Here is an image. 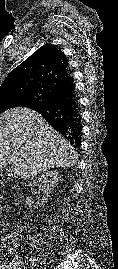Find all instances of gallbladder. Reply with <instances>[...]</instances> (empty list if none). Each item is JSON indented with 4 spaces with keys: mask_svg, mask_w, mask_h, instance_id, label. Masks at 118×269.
<instances>
[{
    "mask_svg": "<svg viewBox=\"0 0 118 269\" xmlns=\"http://www.w3.org/2000/svg\"><path fill=\"white\" fill-rule=\"evenodd\" d=\"M11 172V169L10 168H7L6 169V173H10Z\"/></svg>",
    "mask_w": 118,
    "mask_h": 269,
    "instance_id": "gallbladder-1",
    "label": "gallbladder"
}]
</instances>
